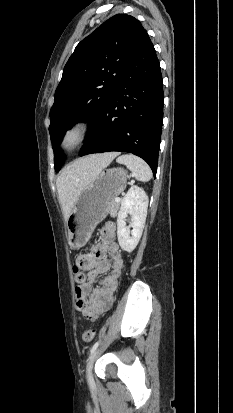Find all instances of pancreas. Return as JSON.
I'll return each mask as SVG.
<instances>
[{
  "mask_svg": "<svg viewBox=\"0 0 233 413\" xmlns=\"http://www.w3.org/2000/svg\"><path fill=\"white\" fill-rule=\"evenodd\" d=\"M119 206H120V202H115V201H113V202L111 203L110 208H109L110 216H112V217H116V216H117V212H118Z\"/></svg>",
  "mask_w": 233,
  "mask_h": 413,
  "instance_id": "cf45deb5",
  "label": "pancreas"
}]
</instances>
